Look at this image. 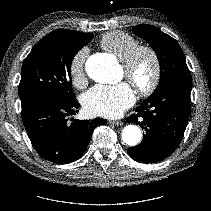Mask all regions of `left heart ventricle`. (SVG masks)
Returning a JSON list of instances; mask_svg holds the SVG:
<instances>
[{"instance_id":"b2bd125f","label":"left heart ventricle","mask_w":211,"mask_h":211,"mask_svg":"<svg viewBox=\"0 0 211 211\" xmlns=\"http://www.w3.org/2000/svg\"><path fill=\"white\" fill-rule=\"evenodd\" d=\"M123 73L125 75V70L123 68ZM152 74V61L148 55H143L137 63L134 71V77L136 81L140 84H146Z\"/></svg>"}]
</instances>
